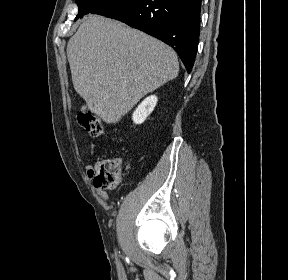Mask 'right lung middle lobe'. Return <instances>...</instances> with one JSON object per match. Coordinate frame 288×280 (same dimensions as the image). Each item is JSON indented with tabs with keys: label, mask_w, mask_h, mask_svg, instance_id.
<instances>
[{
	"label": "right lung middle lobe",
	"mask_w": 288,
	"mask_h": 280,
	"mask_svg": "<svg viewBox=\"0 0 288 280\" xmlns=\"http://www.w3.org/2000/svg\"><path fill=\"white\" fill-rule=\"evenodd\" d=\"M78 5V14L75 18L83 17L85 14L91 13L93 10L98 8L100 5L110 1V0H75Z\"/></svg>",
	"instance_id": "obj_1"
}]
</instances>
